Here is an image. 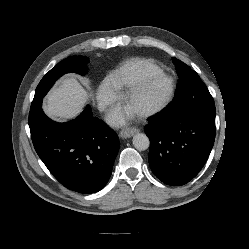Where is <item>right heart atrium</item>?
Masks as SVG:
<instances>
[{
    "mask_svg": "<svg viewBox=\"0 0 249 249\" xmlns=\"http://www.w3.org/2000/svg\"><path fill=\"white\" fill-rule=\"evenodd\" d=\"M119 98V91L115 89L110 81V78H106L98 91L97 100L102 109L109 108Z\"/></svg>",
    "mask_w": 249,
    "mask_h": 249,
    "instance_id": "obj_1",
    "label": "right heart atrium"
}]
</instances>
